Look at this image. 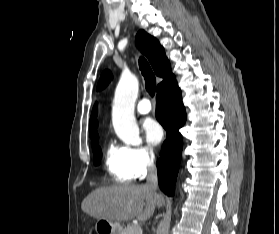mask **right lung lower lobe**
<instances>
[{
    "mask_svg": "<svg viewBox=\"0 0 279 234\" xmlns=\"http://www.w3.org/2000/svg\"><path fill=\"white\" fill-rule=\"evenodd\" d=\"M155 115L167 131L160 159L157 162L158 182L165 194L173 196L183 147V140L179 129L186 121L181 90L174 75L157 87Z\"/></svg>",
    "mask_w": 279,
    "mask_h": 234,
    "instance_id": "98d812e1",
    "label": "right lung lower lobe"
}]
</instances>
